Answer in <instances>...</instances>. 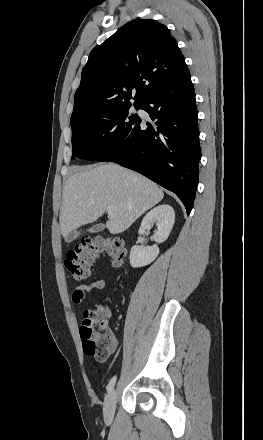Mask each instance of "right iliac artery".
Masks as SVG:
<instances>
[{
	"label": "right iliac artery",
	"instance_id": "82829eb1",
	"mask_svg": "<svg viewBox=\"0 0 263 440\" xmlns=\"http://www.w3.org/2000/svg\"><path fill=\"white\" fill-rule=\"evenodd\" d=\"M115 382H116V376H114V377L110 380L109 384L107 385V392H108V393L112 391V389H113V387H114V385H115Z\"/></svg>",
	"mask_w": 263,
	"mask_h": 440
}]
</instances>
